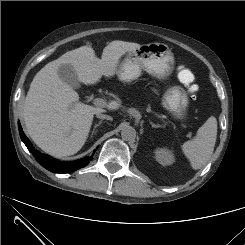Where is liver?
Listing matches in <instances>:
<instances>
[{"label": "liver", "instance_id": "obj_1", "mask_svg": "<svg viewBox=\"0 0 245 245\" xmlns=\"http://www.w3.org/2000/svg\"><path fill=\"white\" fill-rule=\"evenodd\" d=\"M139 46L115 40L99 59L92 47L84 45L46 64L33 78L23 106L27 132L35 144L55 157L74 155L87 140L94 114L104 111L79 102L78 93L58 76L61 65H70L79 82L94 85L102 76L117 74L122 56ZM107 107L116 110L119 104L110 101Z\"/></svg>", "mask_w": 245, "mask_h": 245}]
</instances>
